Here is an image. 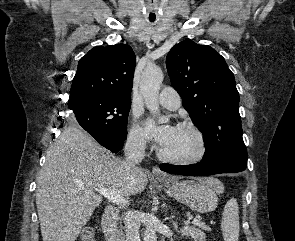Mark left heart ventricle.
<instances>
[{
    "label": "left heart ventricle",
    "mask_w": 295,
    "mask_h": 241,
    "mask_svg": "<svg viewBox=\"0 0 295 241\" xmlns=\"http://www.w3.org/2000/svg\"><path fill=\"white\" fill-rule=\"evenodd\" d=\"M161 149L169 156L187 158L197 152L198 144L191 131L176 128L171 140Z\"/></svg>",
    "instance_id": "1"
}]
</instances>
